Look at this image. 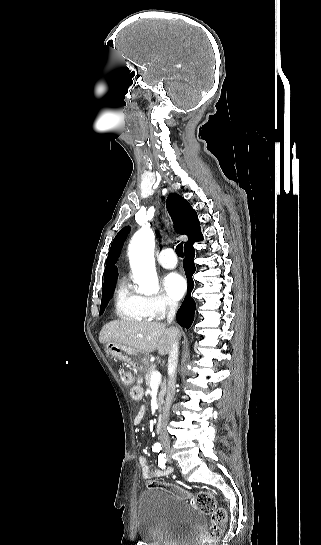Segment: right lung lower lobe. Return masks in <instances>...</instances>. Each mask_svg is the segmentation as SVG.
Masks as SVG:
<instances>
[{
  "label": "right lung lower lobe",
  "instance_id": "1",
  "mask_svg": "<svg viewBox=\"0 0 321 545\" xmlns=\"http://www.w3.org/2000/svg\"><path fill=\"white\" fill-rule=\"evenodd\" d=\"M201 240H203V237L199 230L194 236L188 239L184 246V252L186 257L183 261V267L188 281V290L187 295L180 309L177 312L176 319L179 325L185 328H189L194 319L195 302L191 297V292L194 288V281L192 279V276L196 269L194 264L195 250L193 248V244Z\"/></svg>",
  "mask_w": 321,
  "mask_h": 545
}]
</instances>
